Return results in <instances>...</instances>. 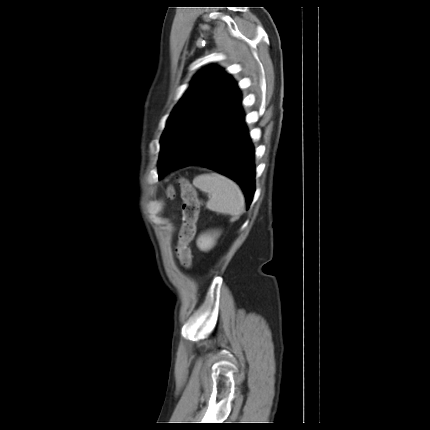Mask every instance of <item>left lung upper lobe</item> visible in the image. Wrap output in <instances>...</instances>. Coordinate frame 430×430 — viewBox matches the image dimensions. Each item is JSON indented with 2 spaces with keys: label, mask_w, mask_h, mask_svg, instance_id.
Segmentation results:
<instances>
[{
  "label": "left lung upper lobe",
  "mask_w": 430,
  "mask_h": 430,
  "mask_svg": "<svg viewBox=\"0 0 430 430\" xmlns=\"http://www.w3.org/2000/svg\"><path fill=\"white\" fill-rule=\"evenodd\" d=\"M209 115L236 118L242 115L241 94L232 77L218 67L199 72L173 110L161 138L159 167Z\"/></svg>",
  "instance_id": "1"
}]
</instances>
